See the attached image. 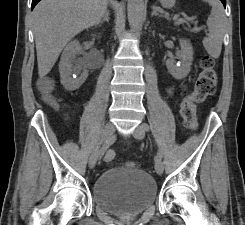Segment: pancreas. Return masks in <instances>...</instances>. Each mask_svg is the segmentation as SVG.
Here are the masks:
<instances>
[{
    "label": "pancreas",
    "mask_w": 245,
    "mask_h": 225,
    "mask_svg": "<svg viewBox=\"0 0 245 225\" xmlns=\"http://www.w3.org/2000/svg\"><path fill=\"white\" fill-rule=\"evenodd\" d=\"M192 20H193V18H192ZM189 21H191V20L190 19H186L185 22H183V23H188ZM177 25H179V24H177Z\"/></svg>",
    "instance_id": "obj_1"
}]
</instances>
